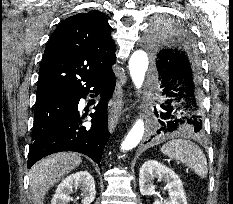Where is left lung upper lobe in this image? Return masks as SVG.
Instances as JSON below:
<instances>
[{
    "label": "left lung upper lobe",
    "instance_id": "1",
    "mask_svg": "<svg viewBox=\"0 0 233 204\" xmlns=\"http://www.w3.org/2000/svg\"><path fill=\"white\" fill-rule=\"evenodd\" d=\"M148 47L153 55L155 65L161 60V54L167 49H174L189 55L200 74V64L195 43L181 27L165 24L152 29L147 39Z\"/></svg>",
    "mask_w": 233,
    "mask_h": 204
}]
</instances>
